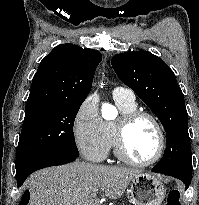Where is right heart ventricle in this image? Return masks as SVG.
Returning <instances> with one entry per match:
<instances>
[{
    "label": "right heart ventricle",
    "instance_id": "right-heart-ventricle-1",
    "mask_svg": "<svg viewBox=\"0 0 199 205\" xmlns=\"http://www.w3.org/2000/svg\"><path fill=\"white\" fill-rule=\"evenodd\" d=\"M114 100L122 114L135 111L137 108V104L135 100L129 101L123 98H115V97H114ZM104 127H105V131L108 137L109 149L114 148V129H113L114 123L105 122Z\"/></svg>",
    "mask_w": 199,
    "mask_h": 205
}]
</instances>
